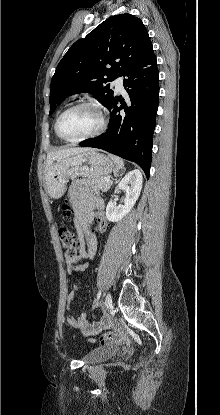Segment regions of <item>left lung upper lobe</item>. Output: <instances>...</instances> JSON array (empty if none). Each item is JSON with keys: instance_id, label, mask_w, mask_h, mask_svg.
Returning <instances> with one entry per match:
<instances>
[{"instance_id": "1", "label": "left lung upper lobe", "mask_w": 220, "mask_h": 415, "mask_svg": "<svg viewBox=\"0 0 220 415\" xmlns=\"http://www.w3.org/2000/svg\"><path fill=\"white\" fill-rule=\"evenodd\" d=\"M153 55L148 32L139 18L130 14L108 18L76 41L59 62L51 83L49 114L64 98L81 92L96 96L107 106L114 97L108 83Z\"/></svg>"}]
</instances>
